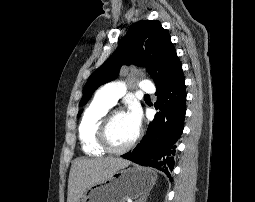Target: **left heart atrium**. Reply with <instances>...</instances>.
<instances>
[{"label":"left heart atrium","mask_w":255,"mask_h":202,"mask_svg":"<svg viewBox=\"0 0 255 202\" xmlns=\"http://www.w3.org/2000/svg\"><path fill=\"white\" fill-rule=\"evenodd\" d=\"M125 115L130 124L138 131L141 126V112L139 108L132 104L129 106Z\"/></svg>","instance_id":"39dd6f15"}]
</instances>
